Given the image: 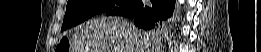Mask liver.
<instances>
[{"mask_svg":"<svg viewBox=\"0 0 261 52\" xmlns=\"http://www.w3.org/2000/svg\"><path fill=\"white\" fill-rule=\"evenodd\" d=\"M73 52H153L158 40L120 17H100L80 25L72 37Z\"/></svg>","mask_w":261,"mask_h":52,"instance_id":"liver-1","label":"liver"}]
</instances>
